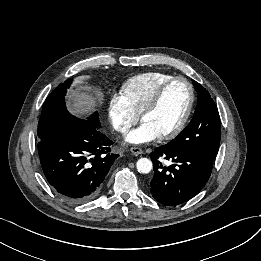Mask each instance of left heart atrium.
Returning <instances> with one entry per match:
<instances>
[{
    "label": "left heart atrium",
    "instance_id": "39dd6f15",
    "mask_svg": "<svg viewBox=\"0 0 261 261\" xmlns=\"http://www.w3.org/2000/svg\"><path fill=\"white\" fill-rule=\"evenodd\" d=\"M160 135L147 123H143L137 129L131 131L127 137L126 142L133 144H142L156 140Z\"/></svg>",
    "mask_w": 261,
    "mask_h": 261
}]
</instances>
